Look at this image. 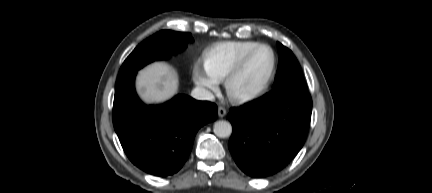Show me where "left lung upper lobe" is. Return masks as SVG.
I'll return each mask as SVG.
<instances>
[{
	"label": "left lung upper lobe",
	"mask_w": 432,
	"mask_h": 193,
	"mask_svg": "<svg viewBox=\"0 0 432 193\" xmlns=\"http://www.w3.org/2000/svg\"><path fill=\"white\" fill-rule=\"evenodd\" d=\"M279 50V64L274 80V91H307L300 65L293 53L277 42Z\"/></svg>",
	"instance_id": "5c2ea615"
}]
</instances>
